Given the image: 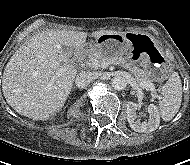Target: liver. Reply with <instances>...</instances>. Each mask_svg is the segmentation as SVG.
I'll use <instances>...</instances> for the list:
<instances>
[{"label":"liver","mask_w":190,"mask_h":165,"mask_svg":"<svg viewBox=\"0 0 190 165\" xmlns=\"http://www.w3.org/2000/svg\"><path fill=\"white\" fill-rule=\"evenodd\" d=\"M103 34H123L113 30H98L91 37ZM87 33L72 30H43L35 33L13 54L2 77V91L7 103L19 114L47 120L64 105L78 74V66L70 63L72 52L65 48L83 49ZM78 60L79 55H76ZM72 65L62 75L57 71ZM69 63V64H68Z\"/></svg>","instance_id":"liver-1"}]
</instances>
